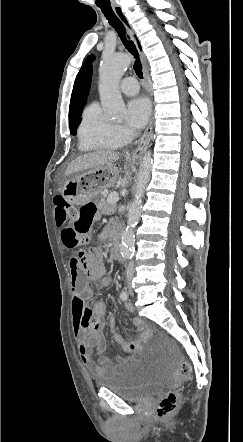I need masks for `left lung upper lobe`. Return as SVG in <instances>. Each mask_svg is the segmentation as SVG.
<instances>
[{
	"label": "left lung upper lobe",
	"mask_w": 243,
	"mask_h": 442,
	"mask_svg": "<svg viewBox=\"0 0 243 442\" xmlns=\"http://www.w3.org/2000/svg\"><path fill=\"white\" fill-rule=\"evenodd\" d=\"M94 58V56L93 55H90L89 57H88V59H93Z\"/></svg>",
	"instance_id": "left-lung-upper-lobe-1"
}]
</instances>
